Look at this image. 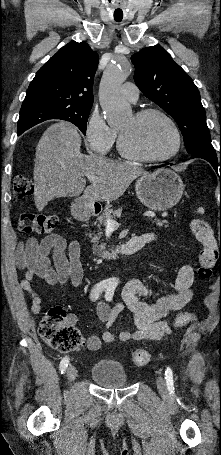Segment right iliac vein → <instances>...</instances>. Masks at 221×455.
Listing matches in <instances>:
<instances>
[{
    "label": "right iliac vein",
    "mask_w": 221,
    "mask_h": 455,
    "mask_svg": "<svg viewBox=\"0 0 221 455\" xmlns=\"http://www.w3.org/2000/svg\"><path fill=\"white\" fill-rule=\"evenodd\" d=\"M76 375H77V370H76L75 366L70 365L67 369V377H68L69 381H74L76 378Z\"/></svg>",
    "instance_id": "right-iliac-vein-1"
}]
</instances>
